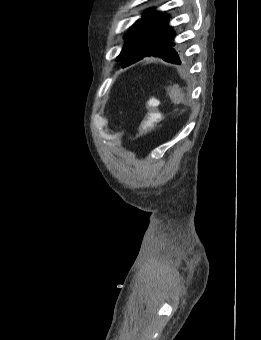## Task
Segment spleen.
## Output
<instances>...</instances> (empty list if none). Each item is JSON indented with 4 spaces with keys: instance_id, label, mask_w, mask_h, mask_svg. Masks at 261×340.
Returning <instances> with one entry per match:
<instances>
[{
    "instance_id": "spleen-1",
    "label": "spleen",
    "mask_w": 261,
    "mask_h": 340,
    "mask_svg": "<svg viewBox=\"0 0 261 340\" xmlns=\"http://www.w3.org/2000/svg\"><path fill=\"white\" fill-rule=\"evenodd\" d=\"M169 97L176 105L185 104L187 102L186 94L177 84H174L169 88Z\"/></svg>"
}]
</instances>
